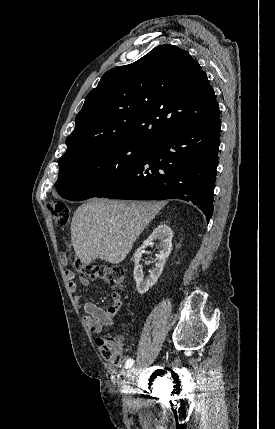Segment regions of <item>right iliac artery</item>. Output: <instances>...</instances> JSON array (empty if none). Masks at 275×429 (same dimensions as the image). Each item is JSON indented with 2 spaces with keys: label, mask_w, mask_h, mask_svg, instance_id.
<instances>
[{
  "label": "right iliac artery",
  "mask_w": 275,
  "mask_h": 429,
  "mask_svg": "<svg viewBox=\"0 0 275 429\" xmlns=\"http://www.w3.org/2000/svg\"><path fill=\"white\" fill-rule=\"evenodd\" d=\"M134 364V360L133 359H128L125 363V368L129 369L132 367V365Z\"/></svg>",
  "instance_id": "obj_1"
}]
</instances>
